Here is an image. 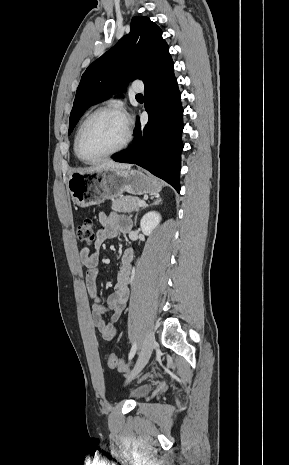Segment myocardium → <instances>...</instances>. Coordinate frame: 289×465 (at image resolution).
Listing matches in <instances>:
<instances>
[{
    "instance_id": "f54148a6",
    "label": "myocardium",
    "mask_w": 289,
    "mask_h": 465,
    "mask_svg": "<svg viewBox=\"0 0 289 465\" xmlns=\"http://www.w3.org/2000/svg\"><path fill=\"white\" fill-rule=\"evenodd\" d=\"M101 113H111V114H116V115H119L121 116L124 120H125V123H126V135H125V138L123 140V142L118 146L116 147L115 149L111 150V151H108L98 157H95V158H87L83 155L82 153V149H81V144H82V137H83V134H84V131H85V128L87 126V124L89 123V121L95 117L96 115L98 114H101ZM131 139H132V131H131V126H130V122L126 116V114L118 107H115V106H101V107H98L96 108L95 110H93L89 115L86 116V118L83 120V122L81 123L78 131H77V135H76V140H75V151H76V155L78 156V158L85 162V163H95V162H98L104 158H107V157H110V156H113L119 152H121L122 150H124L125 148H127V146L129 145V143L131 142Z\"/></svg>"
}]
</instances>
